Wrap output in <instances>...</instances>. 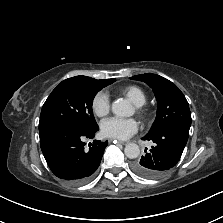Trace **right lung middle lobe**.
Listing matches in <instances>:
<instances>
[{"instance_id":"dd1d6c3e","label":"right lung middle lobe","mask_w":223,"mask_h":223,"mask_svg":"<svg viewBox=\"0 0 223 223\" xmlns=\"http://www.w3.org/2000/svg\"><path fill=\"white\" fill-rule=\"evenodd\" d=\"M115 79L69 78L62 81L45 101L39 121V130L60 123L75 124L87 129L97 127L92 102L102 88Z\"/></svg>"}]
</instances>
